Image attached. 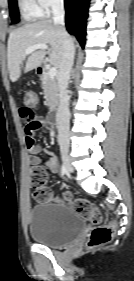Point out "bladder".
Masks as SVG:
<instances>
[{
  "label": "bladder",
  "mask_w": 134,
  "mask_h": 281,
  "mask_svg": "<svg viewBox=\"0 0 134 281\" xmlns=\"http://www.w3.org/2000/svg\"><path fill=\"white\" fill-rule=\"evenodd\" d=\"M28 228L34 241L56 248L80 236L86 228V221L70 206L41 203L31 208Z\"/></svg>",
  "instance_id": "obj_1"
}]
</instances>
